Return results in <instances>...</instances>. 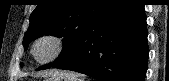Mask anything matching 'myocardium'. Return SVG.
<instances>
[{
    "mask_svg": "<svg viewBox=\"0 0 169 81\" xmlns=\"http://www.w3.org/2000/svg\"><path fill=\"white\" fill-rule=\"evenodd\" d=\"M42 41H50L54 44V51L52 55L48 57L47 59H43V60L37 58L34 53L36 46ZM65 46H66V42L62 36L55 34V33H46V34L39 36L38 38L34 40V42L32 43L30 52H31L32 58L34 59L36 63L41 64V65H46V64L54 62L63 53Z\"/></svg>",
    "mask_w": 169,
    "mask_h": 81,
    "instance_id": "obj_1",
    "label": "myocardium"
}]
</instances>
